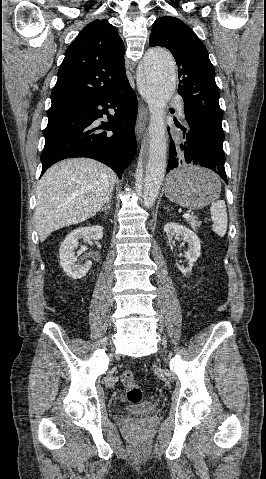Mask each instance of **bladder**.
<instances>
[{"label": "bladder", "instance_id": "bladder-1", "mask_svg": "<svg viewBox=\"0 0 266 479\" xmlns=\"http://www.w3.org/2000/svg\"><path fill=\"white\" fill-rule=\"evenodd\" d=\"M124 412L132 416H151L156 412V405L151 402L131 403L124 407Z\"/></svg>", "mask_w": 266, "mask_h": 479}]
</instances>
